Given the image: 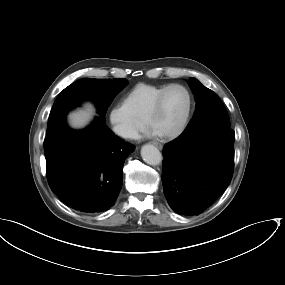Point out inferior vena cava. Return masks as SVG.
<instances>
[{
  "instance_id": "1",
  "label": "inferior vena cava",
  "mask_w": 285,
  "mask_h": 285,
  "mask_svg": "<svg viewBox=\"0 0 285 285\" xmlns=\"http://www.w3.org/2000/svg\"><path fill=\"white\" fill-rule=\"evenodd\" d=\"M116 132L124 138H136L138 136V132L135 129L125 125H119L116 128Z\"/></svg>"
}]
</instances>
